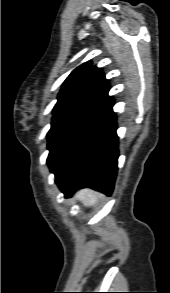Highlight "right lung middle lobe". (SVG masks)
<instances>
[{"instance_id":"1","label":"right lung middle lobe","mask_w":170,"mask_h":293,"mask_svg":"<svg viewBox=\"0 0 170 293\" xmlns=\"http://www.w3.org/2000/svg\"><path fill=\"white\" fill-rule=\"evenodd\" d=\"M111 109L78 107L53 116L48 132V165L55 176L67 165Z\"/></svg>"}]
</instances>
